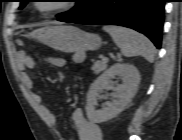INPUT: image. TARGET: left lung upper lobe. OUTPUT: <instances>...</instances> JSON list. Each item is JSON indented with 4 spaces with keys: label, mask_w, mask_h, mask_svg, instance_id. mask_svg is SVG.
Listing matches in <instances>:
<instances>
[{
    "label": "left lung upper lobe",
    "mask_w": 182,
    "mask_h": 140,
    "mask_svg": "<svg viewBox=\"0 0 182 140\" xmlns=\"http://www.w3.org/2000/svg\"><path fill=\"white\" fill-rule=\"evenodd\" d=\"M101 1L102 0H77L75 1L77 4L74 9L57 15L58 20L72 22L82 18L95 10L100 5ZM27 2H29V0H20L21 4L19 9L24 8Z\"/></svg>",
    "instance_id": "5c2ea615"
}]
</instances>
